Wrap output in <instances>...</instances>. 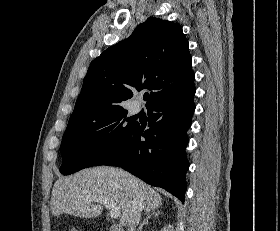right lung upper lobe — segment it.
Returning <instances> with one entry per match:
<instances>
[{"label":"right lung upper lobe","instance_id":"obj_1","mask_svg":"<svg viewBox=\"0 0 280 231\" xmlns=\"http://www.w3.org/2000/svg\"><path fill=\"white\" fill-rule=\"evenodd\" d=\"M189 43L178 23L155 17L90 65L70 120L95 119L120 111L133 92L153 90L146 107L194 86Z\"/></svg>","mask_w":280,"mask_h":231}]
</instances>
